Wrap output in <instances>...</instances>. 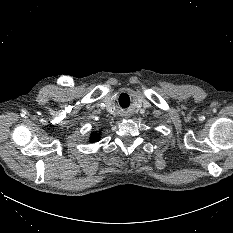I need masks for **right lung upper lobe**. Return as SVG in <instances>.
Returning <instances> with one entry per match:
<instances>
[{
    "label": "right lung upper lobe",
    "mask_w": 233,
    "mask_h": 233,
    "mask_svg": "<svg viewBox=\"0 0 233 233\" xmlns=\"http://www.w3.org/2000/svg\"><path fill=\"white\" fill-rule=\"evenodd\" d=\"M99 138H100V136L98 133H95L90 137L91 142L99 141Z\"/></svg>",
    "instance_id": "cb5924a9"
}]
</instances>
